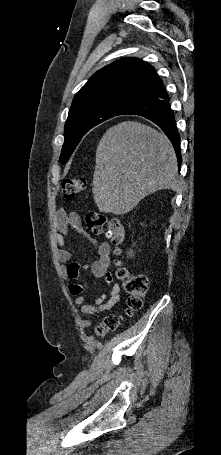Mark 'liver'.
<instances>
[{
    "mask_svg": "<svg viewBox=\"0 0 221 455\" xmlns=\"http://www.w3.org/2000/svg\"><path fill=\"white\" fill-rule=\"evenodd\" d=\"M178 182L174 148L152 127L124 121L99 141L92 192L101 212L126 214L148 194L175 190Z\"/></svg>",
    "mask_w": 221,
    "mask_h": 455,
    "instance_id": "obj_1",
    "label": "liver"
}]
</instances>
